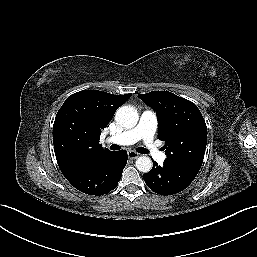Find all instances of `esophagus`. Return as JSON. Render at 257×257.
Segmentation results:
<instances>
[{
    "mask_svg": "<svg viewBox=\"0 0 257 257\" xmlns=\"http://www.w3.org/2000/svg\"><path fill=\"white\" fill-rule=\"evenodd\" d=\"M128 157L130 159H136L139 157V154L135 151L130 150V151H128Z\"/></svg>",
    "mask_w": 257,
    "mask_h": 257,
    "instance_id": "1",
    "label": "esophagus"
}]
</instances>
